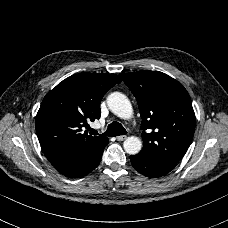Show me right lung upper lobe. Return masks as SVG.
<instances>
[{
	"mask_svg": "<svg viewBox=\"0 0 228 228\" xmlns=\"http://www.w3.org/2000/svg\"><path fill=\"white\" fill-rule=\"evenodd\" d=\"M122 80L115 74L80 73L60 82L44 97L35 125L50 162L73 158L106 138L81 133L87 121L99 119L105 93ZM89 126V125H88Z\"/></svg>",
	"mask_w": 228,
	"mask_h": 228,
	"instance_id": "obj_1",
	"label": "right lung upper lobe"
}]
</instances>
